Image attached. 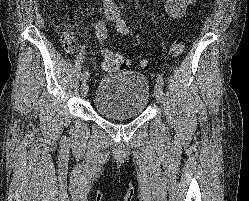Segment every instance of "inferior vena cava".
<instances>
[{"label": "inferior vena cava", "instance_id": "1", "mask_svg": "<svg viewBox=\"0 0 249 201\" xmlns=\"http://www.w3.org/2000/svg\"><path fill=\"white\" fill-rule=\"evenodd\" d=\"M103 2H104V5H105L106 7H109V6H112V5H113L112 0H103Z\"/></svg>", "mask_w": 249, "mask_h": 201}]
</instances>
